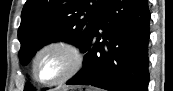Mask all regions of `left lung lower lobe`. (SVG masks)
<instances>
[{
    "mask_svg": "<svg viewBox=\"0 0 173 91\" xmlns=\"http://www.w3.org/2000/svg\"><path fill=\"white\" fill-rule=\"evenodd\" d=\"M149 23L147 0H108L83 50L84 66L66 84L147 91Z\"/></svg>",
    "mask_w": 173,
    "mask_h": 91,
    "instance_id": "1",
    "label": "left lung lower lobe"
}]
</instances>
